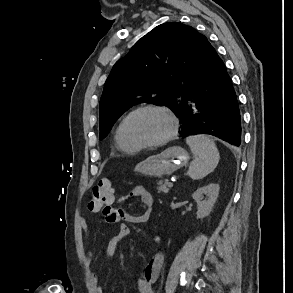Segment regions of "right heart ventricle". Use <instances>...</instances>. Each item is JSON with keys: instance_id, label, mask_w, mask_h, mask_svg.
Segmentation results:
<instances>
[{"instance_id": "obj_1", "label": "right heart ventricle", "mask_w": 293, "mask_h": 293, "mask_svg": "<svg viewBox=\"0 0 293 293\" xmlns=\"http://www.w3.org/2000/svg\"><path fill=\"white\" fill-rule=\"evenodd\" d=\"M123 120H124V118L119 121V123L117 124V126L115 128V132H114L115 145L122 152H134L137 149L129 147L123 140V137H122V123H123Z\"/></svg>"}]
</instances>
